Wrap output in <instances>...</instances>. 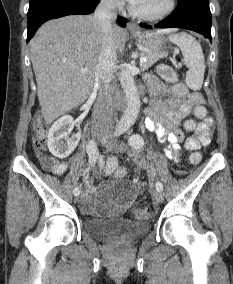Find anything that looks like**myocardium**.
<instances>
[{
    "mask_svg": "<svg viewBox=\"0 0 233 284\" xmlns=\"http://www.w3.org/2000/svg\"><path fill=\"white\" fill-rule=\"evenodd\" d=\"M176 7V0H168L167 6L160 12L147 14L138 11L133 5L130 6V12L137 18L144 21H158L170 15Z\"/></svg>",
    "mask_w": 233,
    "mask_h": 284,
    "instance_id": "myocardium-1",
    "label": "myocardium"
}]
</instances>
